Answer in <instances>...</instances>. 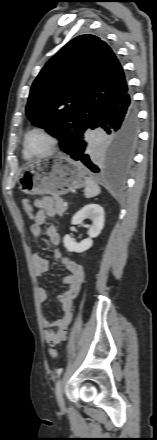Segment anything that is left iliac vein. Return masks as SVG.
<instances>
[{
    "mask_svg": "<svg viewBox=\"0 0 157 440\" xmlns=\"http://www.w3.org/2000/svg\"><path fill=\"white\" fill-rule=\"evenodd\" d=\"M56 399L60 408H64L65 403L63 398V382L61 379H59L56 383Z\"/></svg>",
    "mask_w": 157,
    "mask_h": 440,
    "instance_id": "left-iliac-vein-1",
    "label": "left iliac vein"
}]
</instances>
